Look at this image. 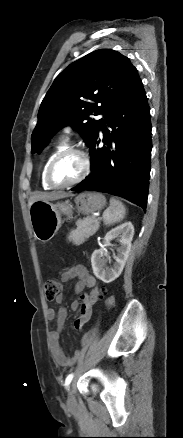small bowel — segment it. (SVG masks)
Listing matches in <instances>:
<instances>
[{
  "label": "small bowel",
  "mask_w": 183,
  "mask_h": 438,
  "mask_svg": "<svg viewBox=\"0 0 183 438\" xmlns=\"http://www.w3.org/2000/svg\"><path fill=\"white\" fill-rule=\"evenodd\" d=\"M77 279V281L74 284L73 292L75 294H79L83 291L85 287H93L96 283V280L93 276H91L87 270L82 265H76L73 267L67 268L61 275V280L63 282H68L72 279ZM87 294L82 295V303H83V297H86ZM55 302L58 304H61L63 302V296L60 294L56 299ZM82 303H80L77 300H74L71 303V309L77 310L80 309L81 314L74 320L73 327L75 330L79 331L82 329V327L89 321L91 317V310L87 312L86 314H82ZM113 299L108 298L106 300V304L108 306L112 305ZM67 309L64 306H60L58 310H55L53 308H49L47 311V316L50 321H55L57 330L51 333L50 339H51V351L53 355L54 361L61 365V366H71L75 362L74 357H68L64 353L60 343H59V337L60 333L64 327L66 318H67Z\"/></svg>",
  "instance_id": "c3829d8e"
}]
</instances>
